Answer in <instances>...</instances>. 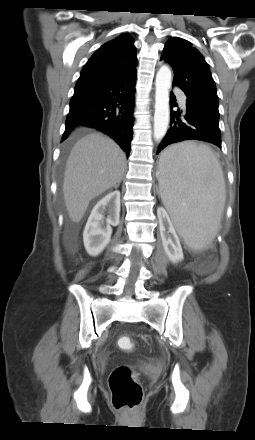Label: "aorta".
<instances>
[{"instance_id":"obj_1","label":"aorta","mask_w":255,"mask_h":440,"mask_svg":"<svg viewBox=\"0 0 255 440\" xmlns=\"http://www.w3.org/2000/svg\"><path fill=\"white\" fill-rule=\"evenodd\" d=\"M171 87V71L162 66L155 80V113L154 139L161 141L165 136L169 124V90Z\"/></svg>"}]
</instances>
